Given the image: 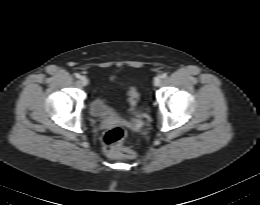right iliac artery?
Masks as SVG:
<instances>
[{
  "instance_id": "obj_1",
  "label": "right iliac artery",
  "mask_w": 260,
  "mask_h": 205,
  "mask_svg": "<svg viewBox=\"0 0 260 205\" xmlns=\"http://www.w3.org/2000/svg\"><path fill=\"white\" fill-rule=\"evenodd\" d=\"M75 77H76V78H80L81 76H80L79 73H75Z\"/></svg>"
}]
</instances>
